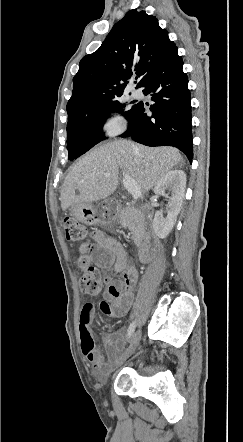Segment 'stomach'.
<instances>
[{
	"label": "stomach",
	"instance_id": "0dacf381",
	"mask_svg": "<svg viewBox=\"0 0 243 442\" xmlns=\"http://www.w3.org/2000/svg\"><path fill=\"white\" fill-rule=\"evenodd\" d=\"M70 212L77 220L88 225L110 224L115 219L106 205L94 207L91 203H79L73 205Z\"/></svg>",
	"mask_w": 243,
	"mask_h": 442
}]
</instances>
